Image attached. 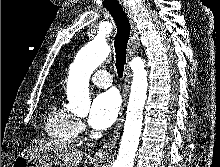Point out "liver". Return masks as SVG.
<instances>
[{
	"instance_id": "6515ba94",
	"label": "liver",
	"mask_w": 220,
	"mask_h": 167,
	"mask_svg": "<svg viewBox=\"0 0 220 167\" xmlns=\"http://www.w3.org/2000/svg\"><path fill=\"white\" fill-rule=\"evenodd\" d=\"M41 167H78L84 153L74 147L59 145L52 139H34L32 144L22 152Z\"/></svg>"
}]
</instances>
